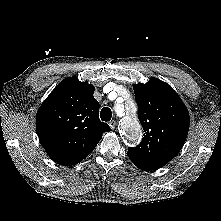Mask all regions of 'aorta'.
Masks as SVG:
<instances>
[{
	"label": "aorta",
	"mask_w": 221,
	"mask_h": 221,
	"mask_svg": "<svg viewBox=\"0 0 221 221\" xmlns=\"http://www.w3.org/2000/svg\"><path fill=\"white\" fill-rule=\"evenodd\" d=\"M121 131L129 145L138 143L141 139V128L133 114H127L121 123Z\"/></svg>",
	"instance_id": "aorta-1"
}]
</instances>
